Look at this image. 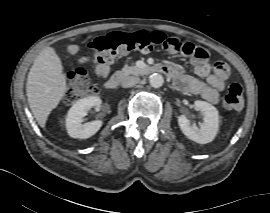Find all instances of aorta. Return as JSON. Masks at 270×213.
<instances>
[{
	"label": "aorta",
	"mask_w": 270,
	"mask_h": 213,
	"mask_svg": "<svg viewBox=\"0 0 270 213\" xmlns=\"http://www.w3.org/2000/svg\"><path fill=\"white\" fill-rule=\"evenodd\" d=\"M150 85L154 88H160L164 83V78L159 73H153L149 78Z\"/></svg>",
	"instance_id": "aorta-1"
}]
</instances>
